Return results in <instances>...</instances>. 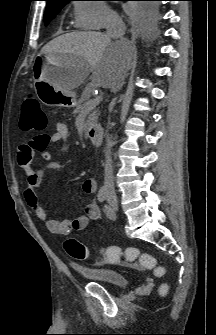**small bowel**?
<instances>
[{
	"label": "small bowel",
	"instance_id": "obj_1",
	"mask_svg": "<svg viewBox=\"0 0 216 335\" xmlns=\"http://www.w3.org/2000/svg\"><path fill=\"white\" fill-rule=\"evenodd\" d=\"M68 141V127L62 122H57L54 133L45 135V143L42 149H35L31 142L30 144L22 145L18 151V163L26 175L27 187L24 196L27 204L33 210L36 217L45 223L51 233L62 236L69 235L72 231H82L88 226L90 221H97L101 217L100 208L94 200L86 205V213L84 215H80L73 220L50 219L40 202L36 189L40 185L44 173L47 170L60 171L63 168L62 162L52 159L49 148L55 144H59L60 152L64 154L68 149ZM35 151L46 162L44 166L38 169L32 167V159L36 153ZM82 190L88 194L94 193L96 190L95 179L86 178L82 183Z\"/></svg>",
	"mask_w": 216,
	"mask_h": 335
}]
</instances>
